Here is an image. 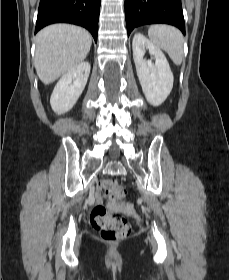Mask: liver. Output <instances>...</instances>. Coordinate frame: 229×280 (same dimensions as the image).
Segmentation results:
<instances>
[{
    "label": "liver",
    "instance_id": "obj_1",
    "mask_svg": "<svg viewBox=\"0 0 229 280\" xmlns=\"http://www.w3.org/2000/svg\"><path fill=\"white\" fill-rule=\"evenodd\" d=\"M35 41V69L40 80L48 85L86 58L92 37L81 27L54 24L39 31Z\"/></svg>",
    "mask_w": 229,
    "mask_h": 280
}]
</instances>
